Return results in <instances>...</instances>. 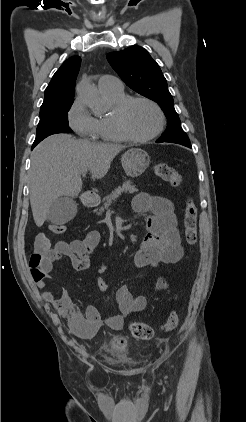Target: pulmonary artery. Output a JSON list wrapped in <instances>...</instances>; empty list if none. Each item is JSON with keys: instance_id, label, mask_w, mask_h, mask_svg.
Wrapping results in <instances>:
<instances>
[{"instance_id": "1", "label": "pulmonary artery", "mask_w": 246, "mask_h": 422, "mask_svg": "<svg viewBox=\"0 0 246 422\" xmlns=\"http://www.w3.org/2000/svg\"><path fill=\"white\" fill-rule=\"evenodd\" d=\"M98 87L101 92H120L123 91L122 82L114 76L103 75L98 80Z\"/></svg>"}]
</instances>
